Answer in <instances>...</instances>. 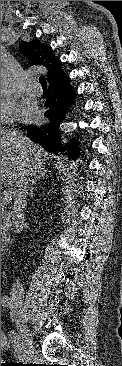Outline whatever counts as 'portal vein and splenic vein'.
<instances>
[{
  "label": "portal vein and splenic vein",
  "instance_id": "obj_1",
  "mask_svg": "<svg viewBox=\"0 0 122 366\" xmlns=\"http://www.w3.org/2000/svg\"><path fill=\"white\" fill-rule=\"evenodd\" d=\"M1 197H3L5 200H11V196L9 194V191H7V190H3L1 192Z\"/></svg>",
  "mask_w": 122,
  "mask_h": 366
}]
</instances>
